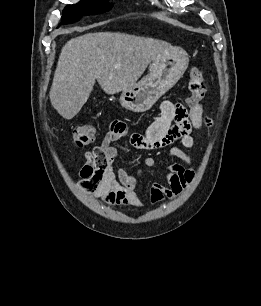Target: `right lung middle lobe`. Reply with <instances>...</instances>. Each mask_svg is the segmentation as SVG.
Returning <instances> with one entry per match:
<instances>
[{
	"instance_id": "right-lung-middle-lobe-1",
	"label": "right lung middle lobe",
	"mask_w": 261,
	"mask_h": 306,
	"mask_svg": "<svg viewBox=\"0 0 261 306\" xmlns=\"http://www.w3.org/2000/svg\"><path fill=\"white\" fill-rule=\"evenodd\" d=\"M81 3L65 7L62 15L63 24L78 21L81 16L109 11L113 7V4L108 3V0H88Z\"/></svg>"
}]
</instances>
